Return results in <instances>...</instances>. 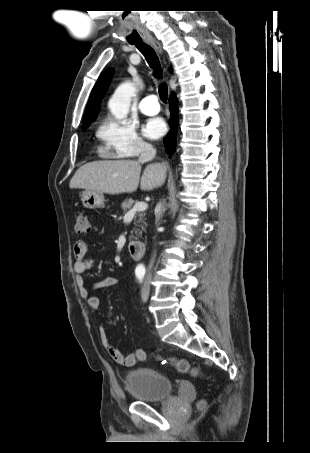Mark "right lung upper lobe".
<instances>
[{"mask_svg": "<svg viewBox=\"0 0 310 453\" xmlns=\"http://www.w3.org/2000/svg\"><path fill=\"white\" fill-rule=\"evenodd\" d=\"M111 71V69H107L103 72L94 85L84 114L83 122L93 121L96 118L101 99L108 86Z\"/></svg>", "mask_w": 310, "mask_h": 453, "instance_id": "1", "label": "right lung upper lobe"}]
</instances>
